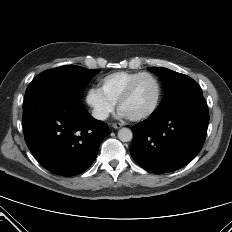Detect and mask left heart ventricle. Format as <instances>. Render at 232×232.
Segmentation results:
<instances>
[{"label":"left heart ventricle","mask_w":232,"mask_h":232,"mask_svg":"<svg viewBox=\"0 0 232 232\" xmlns=\"http://www.w3.org/2000/svg\"><path fill=\"white\" fill-rule=\"evenodd\" d=\"M157 86L150 77L141 78L132 93V96L122 105L121 111L127 116H137L148 111L155 102Z\"/></svg>","instance_id":"1"}]
</instances>
